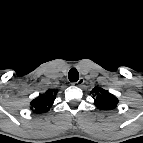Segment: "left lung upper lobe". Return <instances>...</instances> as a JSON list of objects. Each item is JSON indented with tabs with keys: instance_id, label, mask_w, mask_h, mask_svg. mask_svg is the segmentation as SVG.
Wrapping results in <instances>:
<instances>
[{
	"instance_id": "left-lung-upper-lobe-1",
	"label": "left lung upper lobe",
	"mask_w": 143,
	"mask_h": 143,
	"mask_svg": "<svg viewBox=\"0 0 143 143\" xmlns=\"http://www.w3.org/2000/svg\"><path fill=\"white\" fill-rule=\"evenodd\" d=\"M91 94H93L94 104L98 109L111 110L118 104V99L113 94L100 87L93 88Z\"/></svg>"
}]
</instances>
